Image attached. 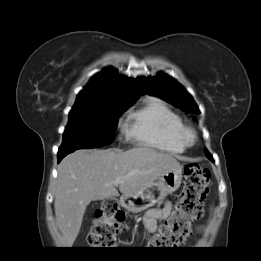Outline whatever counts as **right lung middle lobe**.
<instances>
[{
	"instance_id": "1",
	"label": "right lung middle lobe",
	"mask_w": 261,
	"mask_h": 261,
	"mask_svg": "<svg viewBox=\"0 0 261 261\" xmlns=\"http://www.w3.org/2000/svg\"><path fill=\"white\" fill-rule=\"evenodd\" d=\"M135 100L115 97L76 100L69 113L59 153L96 148L114 141L118 117Z\"/></svg>"
}]
</instances>
